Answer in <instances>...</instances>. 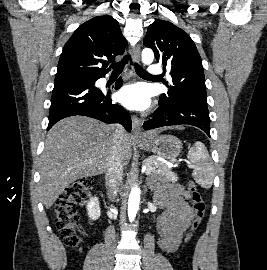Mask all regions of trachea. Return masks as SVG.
<instances>
[{
    "label": "trachea",
    "instance_id": "obj_1",
    "mask_svg": "<svg viewBox=\"0 0 267 270\" xmlns=\"http://www.w3.org/2000/svg\"><path fill=\"white\" fill-rule=\"evenodd\" d=\"M129 58H130L129 56H125L120 62L112 64L111 65V67L113 68L112 73H121L125 64L128 62ZM134 66L137 74L144 76H152L149 73H147L139 64L135 63Z\"/></svg>",
    "mask_w": 267,
    "mask_h": 270
}]
</instances>
